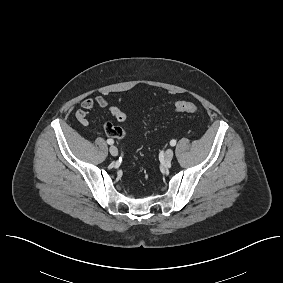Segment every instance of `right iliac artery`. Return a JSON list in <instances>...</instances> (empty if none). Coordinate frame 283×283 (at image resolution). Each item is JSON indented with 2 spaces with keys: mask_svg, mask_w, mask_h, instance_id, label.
<instances>
[{
  "mask_svg": "<svg viewBox=\"0 0 283 283\" xmlns=\"http://www.w3.org/2000/svg\"><path fill=\"white\" fill-rule=\"evenodd\" d=\"M107 143H108L109 145H112V144L114 143V141H113L112 139H107Z\"/></svg>",
  "mask_w": 283,
  "mask_h": 283,
  "instance_id": "right-iliac-artery-1",
  "label": "right iliac artery"
}]
</instances>
